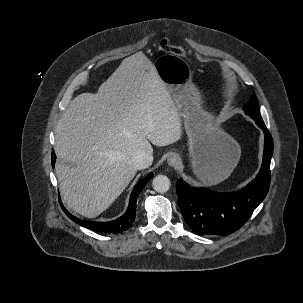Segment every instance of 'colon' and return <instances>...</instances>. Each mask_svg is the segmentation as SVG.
I'll return each instance as SVG.
<instances>
[{"label": "colon", "instance_id": "colon-1", "mask_svg": "<svg viewBox=\"0 0 303 303\" xmlns=\"http://www.w3.org/2000/svg\"><path fill=\"white\" fill-rule=\"evenodd\" d=\"M159 49L176 55H183L184 51L176 45H171L167 38H163L159 43Z\"/></svg>", "mask_w": 303, "mask_h": 303}]
</instances>
